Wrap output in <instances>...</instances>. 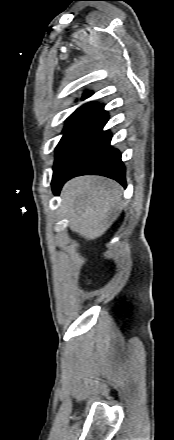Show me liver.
Returning <instances> with one entry per match:
<instances>
[{
	"mask_svg": "<svg viewBox=\"0 0 174 440\" xmlns=\"http://www.w3.org/2000/svg\"><path fill=\"white\" fill-rule=\"evenodd\" d=\"M123 189L111 179L82 176L62 188L61 207L69 228L87 240L103 235L123 207Z\"/></svg>",
	"mask_w": 174,
	"mask_h": 440,
	"instance_id": "obj_1",
	"label": "liver"
}]
</instances>
